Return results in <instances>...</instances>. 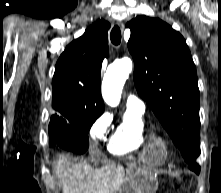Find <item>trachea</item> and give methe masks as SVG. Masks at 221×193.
<instances>
[{
	"label": "trachea",
	"mask_w": 221,
	"mask_h": 193,
	"mask_svg": "<svg viewBox=\"0 0 221 193\" xmlns=\"http://www.w3.org/2000/svg\"><path fill=\"white\" fill-rule=\"evenodd\" d=\"M111 42L114 45H119L121 42V31L118 26H114L110 33Z\"/></svg>",
	"instance_id": "obj_1"
}]
</instances>
